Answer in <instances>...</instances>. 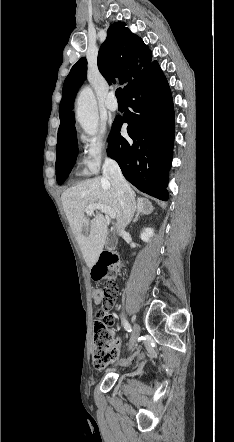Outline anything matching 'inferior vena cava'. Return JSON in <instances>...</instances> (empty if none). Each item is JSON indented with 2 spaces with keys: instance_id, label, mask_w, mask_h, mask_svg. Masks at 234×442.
<instances>
[{
  "instance_id": "602c4592",
  "label": "inferior vena cava",
  "mask_w": 234,
  "mask_h": 442,
  "mask_svg": "<svg viewBox=\"0 0 234 442\" xmlns=\"http://www.w3.org/2000/svg\"><path fill=\"white\" fill-rule=\"evenodd\" d=\"M103 176L111 180L122 207V217L117 221V230L119 234H123L125 227L131 222L135 209V196L128 182L124 178L117 162L111 158H106L103 165Z\"/></svg>"
}]
</instances>
